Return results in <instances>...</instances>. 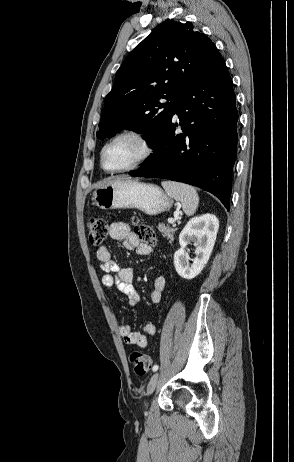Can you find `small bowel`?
Returning <instances> with one entry per match:
<instances>
[{
    "mask_svg": "<svg viewBox=\"0 0 294 462\" xmlns=\"http://www.w3.org/2000/svg\"><path fill=\"white\" fill-rule=\"evenodd\" d=\"M109 233L112 239L122 241L126 249L133 250L138 255H148L152 252V248L141 243L125 222L112 223ZM96 254L100 268L104 273L102 276L103 286L107 289H117L122 294V300L126 301L129 306L137 305L140 297L133 284L134 270L131 267H121L113 261L111 252L106 246L99 247ZM165 286L164 277L157 276L154 279L153 289L150 293L152 303L160 302ZM119 332L124 343L146 348L148 336H153L156 333V326L153 323H146L140 330L134 331L129 322H123L119 326Z\"/></svg>",
    "mask_w": 294,
    "mask_h": 462,
    "instance_id": "small-bowel-1",
    "label": "small bowel"
}]
</instances>
